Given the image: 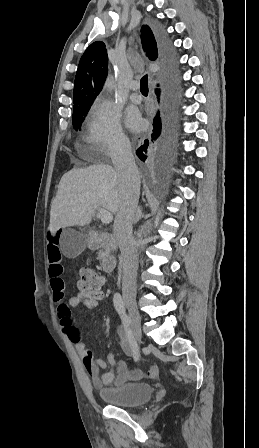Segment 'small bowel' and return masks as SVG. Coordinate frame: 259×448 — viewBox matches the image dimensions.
I'll return each instance as SVG.
<instances>
[{
    "instance_id": "1",
    "label": "small bowel",
    "mask_w": 259,
    "mask_h": 448,
    "mask_svg": "<svg viewBox=\"0 0 259 448\" xmlns=\"http://www.w3.org/2000/svg\"><path fill=\"white\" fill-rule=\"evenodd\" d=\"M60 235V229L49 228L46 254L53 300L56 303V313L60 327L68 339L75 345L76 351L81 356L83 366L90 376L94 387L100 389L108 384L120 385L128 381L156 377L158 374V367L156 365H152L147 371L138 369L129 370L125 363L117 362L113 354L109 353L106 360L95 359L91 351L86 348L79 330L73 324L71 308L84 306L88 309H94L99 306L101 300L104 298V294L100 292L96 295H89L77 292L69 298L68 302L64 301L65 283L62 279L63 265ZM117 337L123 353L128 357L133 356V348L122 327L117 329ZM108 365L114 367L115 372L106 371Z\"/></svg>"
}]
</instances>
